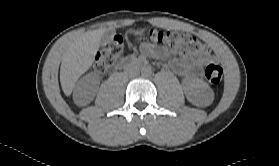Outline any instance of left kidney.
<instances>
[{"label": "left kidney", "instance_id": "5707ae66", "mask_svg": "<svg viewBox=\"0 0 279 166\" xmlns=\"http://www.w3.org/2000/svg\"><path fill=\"white\" fill-rule=\"evenodd\" d=\"M183 89L187 100L196 106L209 105L214 98L211 87L199 78H190L183 81Z\"/></svg>", "mask_w": 279, "mask_h": 166}]
</instances>
